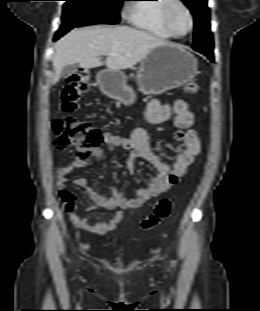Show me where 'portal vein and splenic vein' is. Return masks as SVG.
<instances>
[{"mask_svg":"<svg viewBox=\"0 0 260 311\" xmlns=\"http://www.w3.org/2000/svg\"><path fill=\"white\" fill-rule=\"evenodd\" d=\"M111 55H112V56H116L117 54H114V53H113V54H111Z\"/></svg>","mask_w":260,"mask_h":311,"instance_id":"obj_1","label":"portal vein and splenic vein"}]
</instances>
